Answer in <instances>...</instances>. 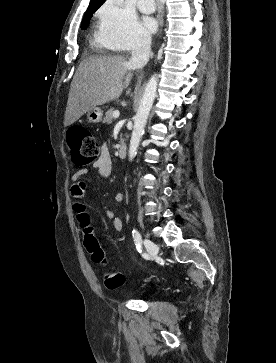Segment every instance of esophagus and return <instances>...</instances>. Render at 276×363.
Masks as SVG:
<instances>
[{
	"instance_id": "1",
	"label": "esophagus",
	"mask_w": 276,
	"mask_h": 363,
	"mask_svg": "<svg viewBox=\"0 0 276 363\" xmlns=\"http://www.w3.org/2000/svg\"><path fill=\"white\" fill-rule=\"evenodd\" d=\"M157 2H158V4H161V0H157ZM158 21H159V24L162 25V23H163V13L162 12L159 13Z\"/></svg>"
}]
</instances>
